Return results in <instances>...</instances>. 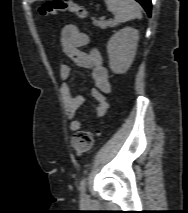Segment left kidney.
Wrapping results in <instances>:
<instances>
[{"instance_id":"1","label":"left kidney","mask_w":188,"mask_h":213,"mask_svg":"<svg viewBox=\"0 0 188 213\" xmlns=\"http://www.w3.org/2000/svg\"><path fill=\"white\" fill-rule=\"evenodd\" d=\"M139 33L137 29L125 27L116 32L108 41L109 67L116 74L126 73L137 50Z\"/></svg>"}]
</instances>
